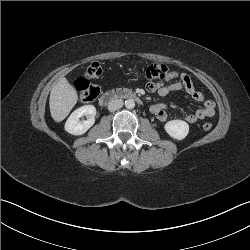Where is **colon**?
Instances as JSON below:
<instances>
[{
    "mask_svg": "<svg viewBox=\"0 0 250 250\" xmlns=\"http://www.w3.org/2000/svg\"><path fill=\"white\" fill-rule=\"evenodd\" d=\"M166 73H171L166 65L154 63L149 65L142 72L135 71L136 75H139L147 80L159 81L164 79ZM102 74V68L99 63H91L85 71L84 77L78 78L75 81V88L79 94V98L84 103L93 102L99 95L100 89L90 82L91 79H97ZM212 128L211 122H205L203 129L209 131Z\"/></svg>",
    "mask_w": 250,
    "mask_h": 250,
    "instance_id": "5ec220e1",
    "label": "colon"
}]
</instances>
